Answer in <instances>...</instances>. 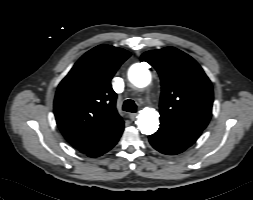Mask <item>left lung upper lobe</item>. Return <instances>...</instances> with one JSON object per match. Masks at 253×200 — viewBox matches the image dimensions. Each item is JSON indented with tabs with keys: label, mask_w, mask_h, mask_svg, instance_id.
Returning a JSON list of instances; mask_svg holds the SVG:
<instances>
[{
	"label": "left lung upper lobe",
	"mask_w": 253,
	"mask_h": 200,
	"mask_svg": "<svg viewBox=\"0 0 253 200\" xmlns=\"http://www.w3.org/2000/svg\"><path fill=\"white\" fill-rule=\"evenodd\" d=\"M141 58L161 79L160 118L203 131L212 114L213 89L200 65L174 47L147 51Z\"/></svg>",
	"instance_id": "left-lung-upper-lobe-1"
}]
</instances>
